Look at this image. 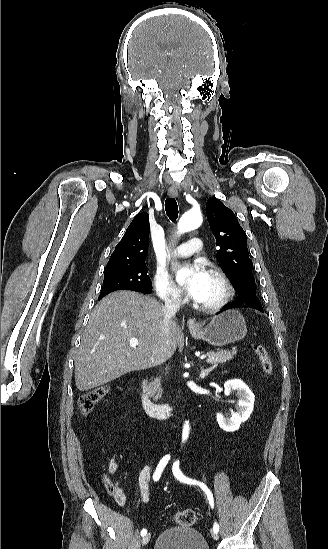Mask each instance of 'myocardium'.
Returning <instances> with one entry per match:
<instances>
[{
  "mask_svg": "<svg viewBox=\"0 0 328 549\" xmlns=\"http://www.w3.org/2000/svg\"><path fill=\"white\" fill-rule=\"evenodd\" d=\"M196 264L210 267V269L207 272L215 275L223 285V293L218 300L208 304L200 303L196 301L195 304L197 308L202 312L210 313V314L223 311L233 296L234 288L231 280L229 279L227 274L222 270V266L216 262H213L211 260H200L196 262Z\"/></svg>",
  "mask_w": 328,
  "mask_h": 549,
  "instance_id": "f54148a6",
  "label": "myocardium"
}]
</instances>
